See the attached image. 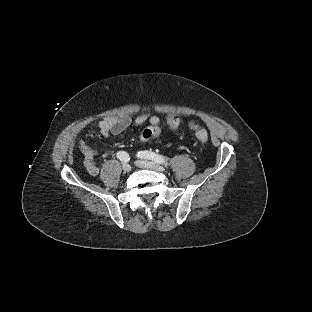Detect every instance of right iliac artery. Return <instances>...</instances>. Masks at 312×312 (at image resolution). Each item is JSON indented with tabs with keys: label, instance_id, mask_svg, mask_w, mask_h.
Returning a JSON list of instances; mask_svg holds the SVG:
<instances>
[{
	"label": "right iliac artery",
	"instance_id": "obj_1",
	"mask_svg": "<svg viewBox=\"0 0 312 312\" xmlns=\"http://www.w3.org/2000/svg\"><path fill=\"white\" fill-rule=\"evenodd\" d=\"M117 157L122 161V162H129L130 157L129 154L126 153L125 151H119L117 153Z\"/></svg>",
	"mask_w": 312,
	"mask_h": 312
}]
</instances>
